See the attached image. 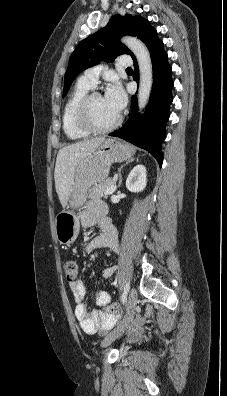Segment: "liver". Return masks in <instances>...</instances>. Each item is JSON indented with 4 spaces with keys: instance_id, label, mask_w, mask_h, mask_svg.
<instances>
[{
    "instance_id": "6515ba94",
    "label": "liver",
    "mask_w": 227,
    "mask_h": 396,
    "mask_svg": "<svg viewBox=\"0 0 227 396\" xmlns=\"http://www.w3.org/2000/svg\"><path fill=\"white\" fill-rule=\"evenodd\" d=\"M105 137L83 140L61 148L57 154L54 180L62 207H66L74 180L75 168L90 152L96 150Z\"/></svg>"
}]
</instances>
